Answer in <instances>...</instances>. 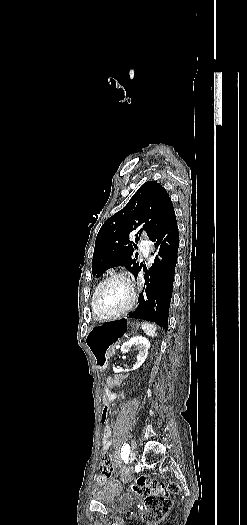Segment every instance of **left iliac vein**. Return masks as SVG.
<instances>
[{
    "label": "left iliac vein",
    "mask_w": 247,
    "mask_h": 525,
    "mask_svg": "<svg viewBox=\"0 0 247 525\" xmlns=\"http://www.w3.org/2000/svg\"><path fill=\"white\" fill-rule=\"evenodd\" d=\"M132 443H133V441H132ZM135 458H136V452L133 450V451H131V453H130V455L128 457V462L132 463L135 460Z\"/></svg>",
    "instance_id": "obj_1"
}]
</instances>
